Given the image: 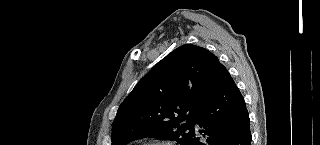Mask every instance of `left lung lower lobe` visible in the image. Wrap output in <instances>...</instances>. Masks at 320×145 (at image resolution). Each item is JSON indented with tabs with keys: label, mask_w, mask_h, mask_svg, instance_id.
<instances>
[{
	"label": "left lung lower lobe",
	"mask_w": 320,
	"mask_h": 145,
	"mask_svg": "<svg viewBox=\"0 0 320 145\" xmlns=\"http://www.w3.org/2000/svg\"><path fill=\"white\" fill-rule=\"evenodd\" d=\"M203 86V105L195 121L198 128L193 127L187 145H250L245 101L224 65L218 62Z\"/></svg>",
	"instance_id": "obj_1"
}]
</instances>
